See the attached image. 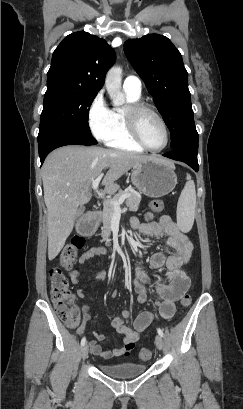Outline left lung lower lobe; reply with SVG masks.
I'll return each instance as SVG.
<instances>
[{
    "label": "left lung lower lobe",
    "mask_w": 243,
    "mask_h": 409,
    "mask_svg": "<svg viewBox=\"0 0 243 409\" xmlns=\"http://www.w3.org/2000/svg\"><path fill=\"white\" fill-rule=\"evenodd\" d=\"M193 145L198 146V133L196 131L194 122L189 123L180 136L179 143L173 147L171 152L163 154V156L182 161L198 171L197 154L193 153L191 148Z\"/></svg>",
    "instance_id": "left-lung-lower-lobe-1"
}]
</instances>
